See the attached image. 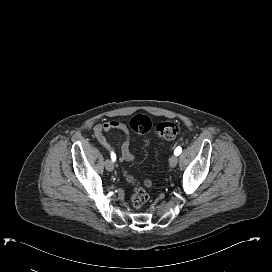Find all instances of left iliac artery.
Listing matches in <instances>:
<instances>
[{
	"label": "left iliac artery",
	"mask_w": 272,
	"mask_h": 272,
	"mask_svg": "<svg viewBox=\"0 0 272 272\" xmlns=\"http://www.w3.org/2000/svg\"><path fill=\"white\" fill-rule=\"evenodd\" d=\"M181 152H182V148H181V147H177V148L174 150V154H175L176 156L180 155Z\"/></svg>",
	"instance_id": "1"
}]
</instances>
